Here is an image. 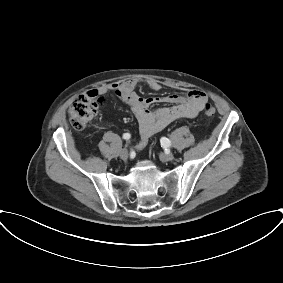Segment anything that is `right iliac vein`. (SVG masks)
<instances>
[{
  "instance_id": "63e3f726",
  "label": "right iliac vein",
  "mask_w": 283,
  "mask_h": 283,
  "mask_svg": "<svg viewBox=\"0 0 283 283\" xmlns=\"http://www.w3.org/2000/svg\"><path fill=\"white\" fill-rule=\"evenodd\" d=\"M128 156H129V153H128V150H127V149H122V150L120 151V158H121V159L125 160V159L128 158Z\"/></svg>"
}]
</instances>
